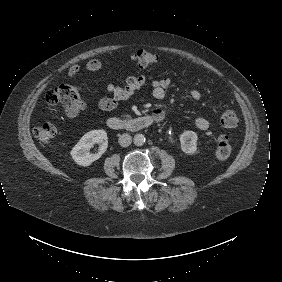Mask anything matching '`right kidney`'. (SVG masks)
Here are the masks:
<instances>
[{"label":"right kidney","mask_w":282,"mask_h":282,"mask_svg":"<svg viewBox=\"0 0 282 282\" xmlns=\"http://www.w3.org/2000/svg\"><path fill=\"white\" fill-rule=\"evenodd\" d=\"M99 144L98 154H89L93 144ZM108 148L107 133L103 129L91 130L84 134L79 142L70 151V156L74 163L81 167H89L104 153Z\"/></svg>","instance_id":"obj_1"}]
</instances>
